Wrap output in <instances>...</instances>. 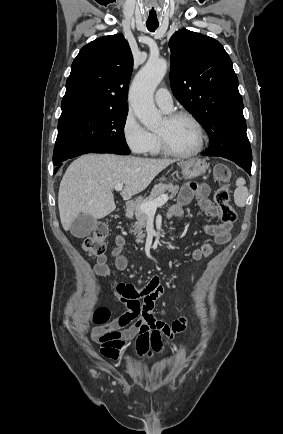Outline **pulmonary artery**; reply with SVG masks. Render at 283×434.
I'll use <instances>...</instances> for the list:
<instances>
[{
  "instance_id": "1",
  "label": "pulmonary artery",
  "mask_w": 283,
  "mask_h": 434,
  "mask_svg": "<svg viewBox=\"0 0 283 434\" xmlns=\"http://www.w3.org/2000/svg\"><path fill=\"white\" fill-rule=\"evenodd\" d=\"M156 104L164 111H170L173 107V100L169 90L165 87L159 88L154 96Z\"/></svg>"
}]
</instances>
